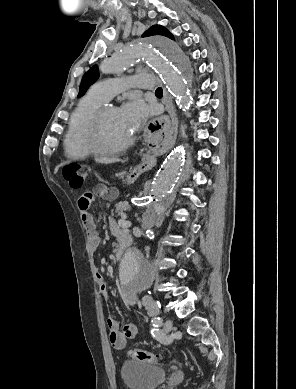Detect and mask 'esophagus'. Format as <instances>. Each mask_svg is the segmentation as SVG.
Here are the masks:
<instances>
[{
    "mask_svg": "<svg viewBox=\"0 0 296 389\" xmlns=\"http://www.w3.org/2000/svg\"><path fill=\"white\" fill-rule=\"evenodd\" d=\"M165 96V107L167 112H164V117L160 121H155L151 119V122H148L146 126L142 127L141 135L143 139H162L165 131H170L174 123L176 127V110L174 108L171 97L168 92L164 89ZM156 166V159L153 156H150L148 152L143 154L141 163L137 165V169L140 172L147 169H153Z\"/></svg>",
    "mask_w": 296,
    "mask_h": 389,
    "instance_id": "1",
    "label": "esophagus"
}]
</instances>
